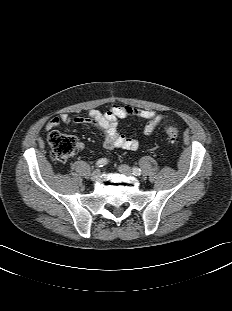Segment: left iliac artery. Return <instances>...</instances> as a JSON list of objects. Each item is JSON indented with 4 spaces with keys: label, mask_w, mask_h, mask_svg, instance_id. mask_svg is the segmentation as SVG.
<instances>
[{
    "label": "left iliac artery",
    "mask_w": 232,
    "mask_h": 311,
    "mask_svg": "<svg viewBox=\"0 0 232 311\" xmlns=\"http://www.w3.org/2000/svg\"><path fill=\"white\" fill-rule=\"evenodd\" d=\"M133 174L135 176H139L141 174V169L137 168V167H134L133 168Z\"/></svg>",
    "instance_id": "obj_1"
}]
</instances>
